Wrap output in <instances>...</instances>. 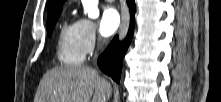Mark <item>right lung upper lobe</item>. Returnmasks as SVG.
<instances>
[{
	"label": "right lung upper lobe",
	"instance_id": "1",
	"mask_svg": "<svg viewBox=\"0 0 221 102\" xmlns=\"http://www.w3.org/2000/svg\"><path fill=\"white\" fill-rule=\"evenodd\" d=\"M64 0H49L48 1V17L52 16L55 12L62 9V4Z\"/></svg>",
	"mask_w": 221,
	"mask_h": 102
}]
</instances>
